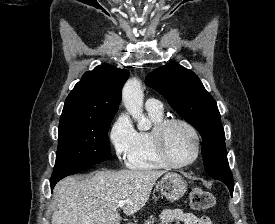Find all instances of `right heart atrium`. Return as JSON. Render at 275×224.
<instances>
[{
    "label": "right heart atrium",
    "instance_id": "1",
    "mask_svg": "<svg viewBox=\"0 0 275 224\" xmlns=\"http://www.w3.org/2000/svg\"><path fill=\"white\" fill-rule=\"evenodd\" d=\"M109 138L117 158L126 161L136 140V131L126 114L117 117L111 127Z\"/></svg>",
    "mask_w": 275,
    "mask_h": 224
}]
</instances>
